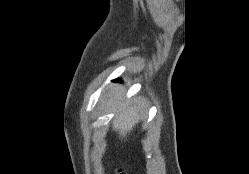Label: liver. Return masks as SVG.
<instances>
[{
    "mask_svg": "<svg viewBox=\"0 0 249 174\" xmlns=\"http://www.w3.org/2000/svg\"><path fill=\"white\" fill-rule=\"evenodd\" d=\"M110 97L111 99L109 100L108 106L117 110L113 119V128L121 137H125L139 122V111L134 107L119 106V100L112 94Z\"/></svg>",
    "mask_w": 249,
    "mask_h": 174,
    "instance_id": "1",
    "label": "liver"
}]
</instances>
